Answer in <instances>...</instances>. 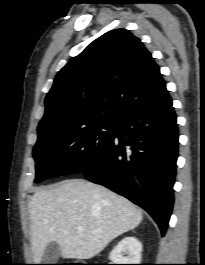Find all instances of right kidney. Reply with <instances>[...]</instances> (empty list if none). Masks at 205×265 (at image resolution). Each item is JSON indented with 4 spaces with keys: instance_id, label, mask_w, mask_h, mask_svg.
<instances>
[{
    "instance_id": "right-kidney-1",
    "label": "right kidney",
    "mask_w": 205,
    "mask_h": 265,
    "mask_svg": "<svg viewBox=\"0 0 205 265\" xmlns=\"http://www.w3.org/2000/svg\"><path fill=\"white\" fill-rule=\"evenodd\" d=\"M142 244L135 237H125L111 251L110 260L113 264H140ZM126 254L127 256H123Z\"/></svg>"
}]
</instances>
